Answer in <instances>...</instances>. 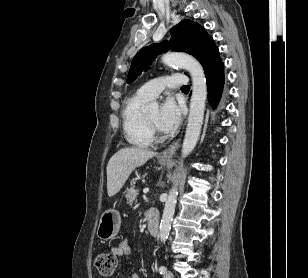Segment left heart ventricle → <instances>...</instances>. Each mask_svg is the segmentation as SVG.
<instances>
[{"label":"left heart ventricle","mask_w":308,"mask_h":278,"mask_svg":"<svg viewBox=\"0 0 308 278\" xmlns=\"http://www.w3.org/2000/svg\"><path fill=\"white\" fill-rule=\"evenodd\" d=\"M148 119L157 126V122H158V117H159V111L158 110H153L148 112L147 114Z\"/></svg>","instance_id":"1"}]
</instances>
